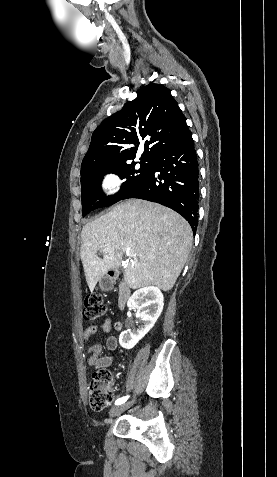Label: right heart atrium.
Wrapping results in <instances>:
<instances>
[{"label": "right heart atrium", "instance_id": "d8ad5b80", "mask_svg": "<svg viewBox=\"0 0 277 477\" xmlns=\"http://www.w3.org/2000/svg\"><path fill=\"white\" fill-rule=\"evenodd\" d=\"M101 185L108 194H113L118 191L121 185V179L118 174L114 172H108L103 175L101 179Z\"/></svg>", "mask_w": 277, "mask_h": 477}]
</instances>
